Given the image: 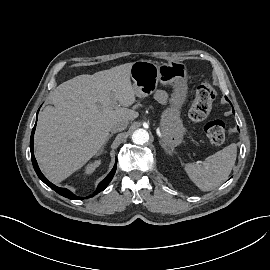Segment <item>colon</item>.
I'll return each mask as SVG.
<instances>
[{
  "instance_id": "1",
  "label": "colon",
  "mask_w": 270,
  "mask_h": 270,
  "mask_svg": "<svg viewBox=\"0 0 270 270\" xmlns=\"http://www.w3.org/2000/svg\"><path fill=\"white\" fill-rule=\"evenodd\" d=\"M215 97V89L208 83H201L197 87L194 102L189 109V119L194 123L204 120L211 111ZM204 133L209 143L219 145L225 138V125L221 120H210L204 125Z\"/></svg>"
}]
</instances>
